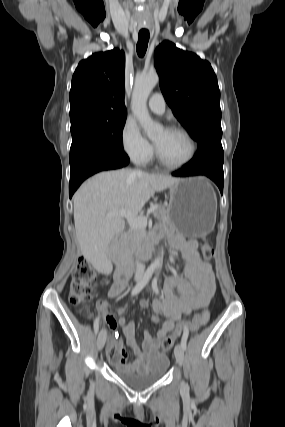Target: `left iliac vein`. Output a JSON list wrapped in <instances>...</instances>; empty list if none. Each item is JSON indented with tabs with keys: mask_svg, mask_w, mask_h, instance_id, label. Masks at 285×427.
<instances>
[{
	"mask_svg": "<svg viewBox=\"0 0 285 427\" xmlns=\"http://www.w3.org/2000/svg\"><path fill=\"white\" fill-rule=\"evenodd\" d=\"M175 357L179 365L183 364L184 361V350L181 345H176L174 349Z\"/></svg>",
	"mask_w": 285,
	"mask_h": 427,
	"instance_id": "1",
	"label": "left iliac vein"
}]
</instances>
